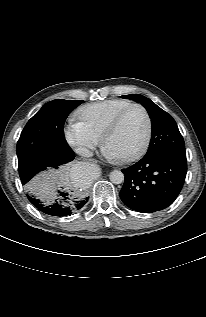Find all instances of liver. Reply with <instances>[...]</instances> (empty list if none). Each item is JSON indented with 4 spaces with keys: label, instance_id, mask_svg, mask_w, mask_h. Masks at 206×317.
<instances>
[{
    "label": "liver",
    "instance_id": "obj_1",
    "mask_svg": "<svg viewBox=\"0 0 206 317\" xmlns=\"http://www.w3.org/2000/svg\"><path fill=\"white\" fill-rule=\"evenodd\" d=\"M67 169H61L60 171H50L48 173H43V180H38V191L41 198H46L51 200L54 198V187H55V178L58 175H61L62 172H66ZM67 179V175H65Z\"/></svg>",
    "mask_w": 206,
    "mask_h": 317
}]
</instances>
